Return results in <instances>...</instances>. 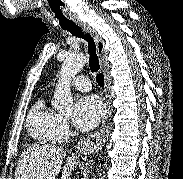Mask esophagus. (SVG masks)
Wrapping results in <instances>:
<instances>
[{
    "label": "esophagus",
    "mask_w": 183,
    "mask_h": 179,
    "mask_svg": "<svg viewBox=\"0 0 183 179\" xmlns=\"http://www.w3.org/2000/svg\"><path fill=\"white\" fill-rule=\"evenodd\" d=\"M76 23L84 30L86 34L89 33L93 37L96 44L97 54L99 56L101 67L104 73V78H105L104 91H105V98H106L107 115L101 125V128L95 133H93L92 135H90L89 137L82 139L78 143V147H77L80 150V152L91 153L101 149L104 146L110 131V120L112 115V109L109 101L110 76H109L108 63L106 60V52L104 49V41L97 34V32L85 22L77 19Z\"/></svg>",
    "instance_id": "34e87169"
}]
</instances>
